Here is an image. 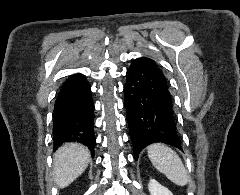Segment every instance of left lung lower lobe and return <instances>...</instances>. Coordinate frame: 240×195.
Here are the masks:
<instances>
[{
  "mask_svg": "<svg viewBox=\"0 0 240 195\" xmlns=\"http://www.w3.org/2000/svg\"><path fill=\"white\" fill-rule=\"evenodd\" d=\"M126 78L124 105L135 159L144 147L155 142L182 151L167 80L156 62L145 57L133 60Z\"/></svg>",
  "mask_w": 240,
  "mask_h": 195,
  "instance_id": "obj_1",
  "label": "left lung lower lobe"
}]
</instances>
